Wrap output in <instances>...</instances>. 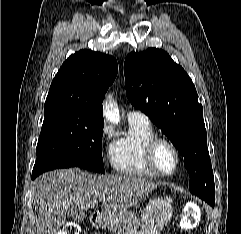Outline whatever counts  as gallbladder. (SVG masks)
Segmentation results:
<instances>
[{
  "mask_svg": "<svg viewBox=\"0 0 241 234\" xmlns=\"http://www.w3.org/2000/svg\"><path fill=\"white\" fill-rule=\"evenodd\" d=\"M85 217V212L83 210L74 211L73 218L77 221H82Z\"/></svg>",
  "mask_w": 241,
  "mask_h": 234,
  "instance_id": "bac80fb5",
  "label": "gallbladder"
}]
</instances>
